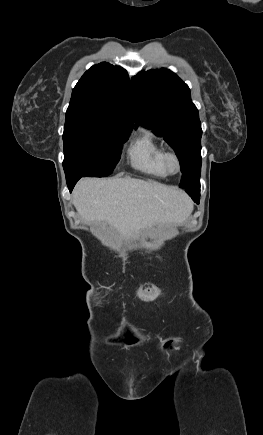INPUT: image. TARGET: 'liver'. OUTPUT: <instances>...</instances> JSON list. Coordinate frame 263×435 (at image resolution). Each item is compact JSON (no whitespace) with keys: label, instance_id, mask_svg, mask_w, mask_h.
Listing matches in <instances>:
<instances>
[{"label":"liver","instance_id":"obj_1","mask_svg":"<svg viewBox=\"0 0 263 435\" xmlns=\"http://www.w3.org/2000/svg\"><path fill=\"white\" fill-rule=\"evenodd\" d=\"M72 201L85 221H106L125 238L156 223H182L193 210L182 190L134 178H84Z\"/></svg>","mask_w":263,"mask_h":435}]
</instances>
